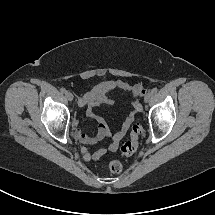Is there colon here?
<instances>
[{"label": "colon", "instance_id": "obj_1", "mask_svg": "<svg viewBox=\"0 0 215 215\" xmlns=\"http://www.w3.org/2000/svg\"><path fill=\"white\" fill-rule=\"evenodd\" d=\"M142 132L143 127L139 122L135 123L132 126L129 134V139L126 142H124V144L121 147V154L123 156L128 157L136 152L138 148V140ZM106 166L108 170L114 175H119L123 171L122 164L117 160H108L106 162Z\"/></svg>", "mask_w": 215, "mask_h": 215}]
</instances>
